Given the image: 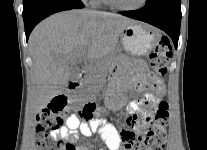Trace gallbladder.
Wrapping results in <instances>:
<instances>
[{
  "mask_svg": "<svg viewBox=\"0 0 207 150\" xmlns=\"http://www.w3.org/2000/svg\"><path fill=\"white\" fill-rule=\"evenodd\" d=\"M76 75H77V73L74 71V69H71V72H70V79H74V78H76Z\"/></svg>",
  "mask_w": 207,
  "mask_h": 150,
  "instance_id": "gallbladder-1",
  "label": "gallbladder"
}]
</instances>
